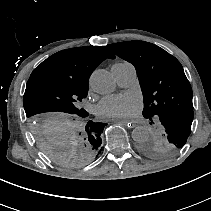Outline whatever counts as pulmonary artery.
<instances>
[{
    "mask_svg": "<svg viewBox=\"0 0 211 211\" xmlns=\"http://www.w3.org/2000/svg\"><path fill=\"white\" fill-rule=\"evenodd\" d=\"M111 71L119 85L124 87L132 85L137 79L136 69L130 63H116L111 67Z\"/></svg>",
    "mask_w": 211,
    "mask_h": 211,
    "instance_id": "e3ab8cb5",
    "label": "pulmonary artery"
}]
</instances>
